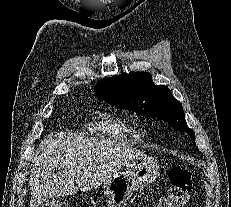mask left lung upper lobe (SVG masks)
<instances>
[{
  "mask_svg": "<svg viewBox=\"0 0 231 207\" xmlns=\"http://www.w3.org/2000/svg\"><path fill=\"white\" fill-rule=\"evenodd\" d=\"M94 91L114 106L168 122L175 130L188 133L195 145V133L187 126L181 103L168 87L154 85L150 73L130 72L105 78Z\"/></svg>",
  "mask_w": 231,
  "mask_h": 207,
  "instance_id": "1",
  "label": "left lung upper lobe"
}]
</instances>
